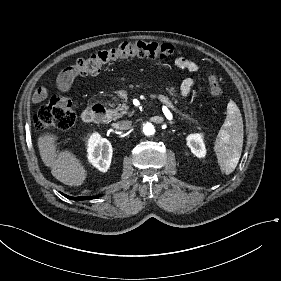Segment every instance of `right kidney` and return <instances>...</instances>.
I'll return each instance as SVG.
<instances>
[{"instance_id": "1", "label": "right kidney", "mask_w": 281, "mask_h": 281, "mask_svg": "<svg viewBox=\"0 0 281 281\" xmlns=\"http://www.w3.org/2000/svg\"><path fill=\"white\" fill-rule=\"evenodd\" d=\"M88 154L90 162L99 170L106 172L110 168L112 160V146L108 140L93 134L88 139Z\"/></svg>"}]
</instances>
